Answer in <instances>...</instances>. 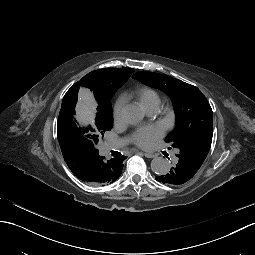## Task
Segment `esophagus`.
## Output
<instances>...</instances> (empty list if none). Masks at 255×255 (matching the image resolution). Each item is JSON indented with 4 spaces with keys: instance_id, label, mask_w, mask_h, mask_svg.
Masks as SVG:
<instances>
[{
    "instance_id": "obj_1",
    "label": "esophagus",
    "mask_w": 255,
    "mask_h": 255,
    "mask_svg": "<svg viewBox=\"0 0 255 255\" xmlns=\"http://www.w3.org/2000/svg\"><path fill=\"white\" fill-rule=\"evenodd\" d=\"M144 156L147 157V158H154V157H155V154H152V153H144Z\"/></svg>"
}]
</instances>
